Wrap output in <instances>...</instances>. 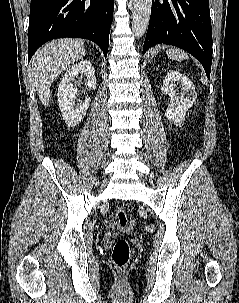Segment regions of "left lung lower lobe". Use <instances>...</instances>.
Segmentation results:
<instances>
[{
	"mask_svg": "<svg viewBox=\"0 0 239 303\" xmlns=\"http://www.w3.org/2000/svg\"><path fill=\"white\" fill-rule=\"evenodd\" d=\"M169 44L192 54L210 78L212 27L208 0H152L143 53L156 44Z\"/></svg>",
	"mask_w": 239,
	"mask_h": 303,
	"instance_id": "0a47b994",
	"label": "left lung lower lobe"
}]
</instances>
